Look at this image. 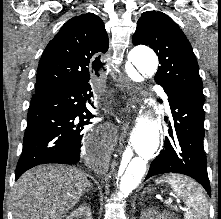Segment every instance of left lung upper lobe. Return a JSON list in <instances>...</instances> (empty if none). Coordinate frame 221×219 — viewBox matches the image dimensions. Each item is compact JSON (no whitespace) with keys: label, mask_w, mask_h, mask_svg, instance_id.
Here are the masks:
<instances>
[{"label":"left lung upper lobe","mask_w":221,"mask_h":219,"mask_svg":"<svg viewBox=\"0 0 221 219\" xmlns=\"http://www.w3.org/2000/svg\"><path fill=\"white\" fill-rule=\"evenodd\" d=\"M132 42L147 45L158 55L160 66L155 81L166 94L204 104L196 57L186 36L169 16L154 10L142 13Z\"/></svg>","instance_id":"1"}]
</instances>
